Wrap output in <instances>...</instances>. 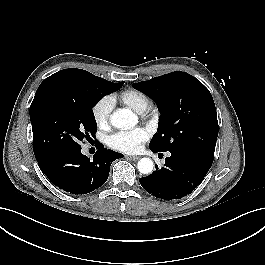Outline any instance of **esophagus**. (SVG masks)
<instances>
[{
	"label": "esophagus",
	"mask_w": 265,
	"mask_h": 265,
	"mask_svg": "<svg viewBox=\"0 0 265 265\" xmlns=\"http://www.w3.org/2000/svg\"><path fill=\"white\" fill-rule=\"evenodd\" d=\"M127 158L132 160V161H137L140 159V156H127Z\"/></svg>",
	"instance_id": "obj_1"
}]
</instances>
